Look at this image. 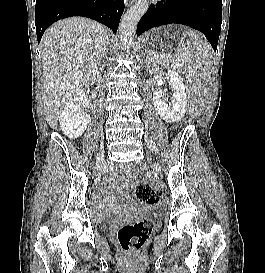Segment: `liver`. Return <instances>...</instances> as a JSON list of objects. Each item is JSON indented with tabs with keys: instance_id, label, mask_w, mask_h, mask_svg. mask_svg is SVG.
<instances>
[{
	"instance_id": "1",
	"label": "liver",
	"mask_w": 265,
	"mask_h": 273,
	"mask_svg": "<svg viewBox=\"0 0 265 273\" xmlns=\"http://www.w3.org/2000/svg\"><path fill=\"white\" fill-rule=\"evenodd\" d=\"M108 41L105 27L84 17L58 21L44 33L40 43L43 100L51 128H57L66 103L96 80Z\"/></svg>"
}]
</instances>
